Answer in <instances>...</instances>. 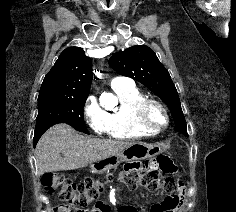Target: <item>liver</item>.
Masks as SVG:
<instances>
[{"instance_id": "liver-1", "label": "liver", "mask_w": 236, "mask_h": 212, "mask_svg": "<svg viewBox=\"0 0 236 212\" xmlns=\"http://www.w3.org/2000/svg\"><path fill=\"white\" fill-rule=\"evenodd\" d=\"M134 143L79 135L69 125L58 124L48 129L38 141L36 168L41 174L83 168L116 155Z\"/></svg>"}]
</instances>
